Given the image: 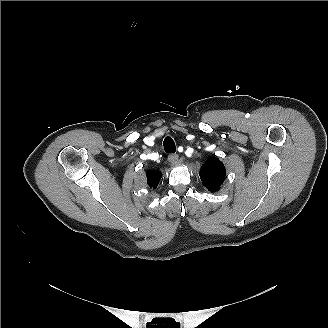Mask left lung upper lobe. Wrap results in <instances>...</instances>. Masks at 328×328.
I'll return each instance as SVG.
<instances>
[{
	"mask_svg": "<svg viewBox=\"0 0 328 328\" xmlns=\"http://www.w3.org/2000/svg\"><path fill=\"white\" fill-rule=\"evenodd\" d=\"M199 176L203 185L210 191H218L222 185L226 170L223 163L215 157H210L201 166Z\"/></svg>",
	"mask_w": 328,
	"mask_h": 328,
	"instance_id": "obj_1",
	"label": "left lung upper lobe"
}]
</instances>
